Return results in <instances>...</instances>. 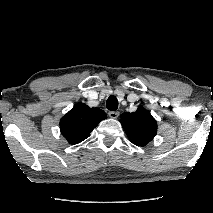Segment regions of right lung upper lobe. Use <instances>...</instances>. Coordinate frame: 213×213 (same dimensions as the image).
Instances as JSON below:
<instances>
[{
  "label": "right lung upper lobe",
  "mask_w": 213,
  "mask_h": 213,
  "mask_svg": "<svg viewBox=\"0 0 213 213\" xmlns=\"http://www.w3.org/2000/svg\"><path fill=\"white\" fill-rule=\"evenodd\" d=\"M106 118V113L99 108L77 104L61 118L60 130L70 144H78L88 138L92 130Z\"/></svg>",
  "instance_id": "right-lung-upper-lobe-1"
}]
</instances>
